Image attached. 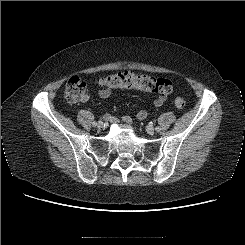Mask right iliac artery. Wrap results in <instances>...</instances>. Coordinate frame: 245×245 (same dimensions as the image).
<instances>
[{"label": "right iliac artery", "instance_id": "1", "mask_svg": "<svg viewBox=\"0 0 245 245\" xmlns=\"http://www.w3.org/2000/svg\"><path fill=\"white\" fill-rule=\"evenodd\" d=\"M100 122V121H99ZM93 125H96V123L95 122H93Z\"/></svg>", "mask_w": 245, "mask_h": 245}]
</instances>
